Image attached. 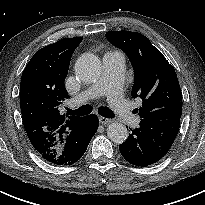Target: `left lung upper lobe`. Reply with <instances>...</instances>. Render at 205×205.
Wrapping results in <instances>:
<instances>
[{
    "label": "left lung upper lobe",
    "mask_w": 205,
    "mask_h": 205,
    "mask_svg": "<svg viewBox=\"0 0 205 205\" xmlns=\"http://www.w3.org/2000/svg\"><path fill=\"white\" fill-rule=\"evenodd\" d=\"M108 40L123 50L134 69L132 97L143 100L137 110L142 121L180 119L182 93L176 72L163 54L144 35L130 31H110Z\"/></svg>",
    "instance_id": "5c2ea615"
}]
</instances>
